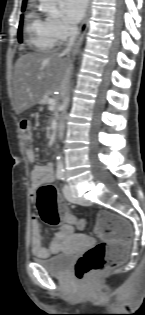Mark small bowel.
<instances>
[{
    "mask_svg": "<svg viewBox=\"0 0 145 315\" xmlns=\"http://www.w3.org/2000/svg\"><path fill=\"white\" fill-rule=\"evenodd\" d=\"M26 156L29 162H35L36 154L32 148L26 149ZM54 177V168L51 163L34 165L30 173L32 197L34 198L37 189L42 184L53 182ZM72 232L73 227L70 224H63L52 238L50 246L44 247L42 245V228L39 224L38 218L34 215L31 218V251L36 257L39 258H46L57 254L62 250L63 239Z\"/></svg>",
    "mask_w": 145,
    "mask_h": 315,
    "instance_id": "c3829d8e",
    "label": "small bowel"
}]
</instances>
